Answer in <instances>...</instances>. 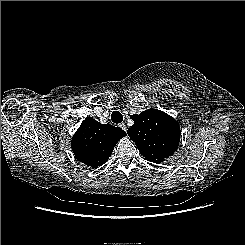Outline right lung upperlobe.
Masks as SVG:
<instances>
[{
  "mask_svg": "<svg viewBox=\"0 0 245 245\" xmlns=\"http://www.w3.org/2000/svg\"><path fill=\"white\" fill-rule=\"evenodd\" d=\"M125 135L120 127L100 124L88 117L73 136L71 146L78 161L96 168L108 161L115 145Z\"/></svg>",
  "mask_w": 245,
  "mask_h": 245,
  "instance_id": "cb5924a9",
  "label": "right lung upper lobe"
}]
</instances>
